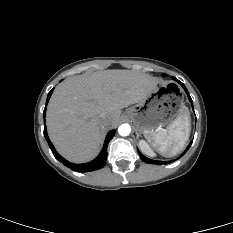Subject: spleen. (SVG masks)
Listing matches in <instances>:
<instances>
[{
  "label": "spleen",
  "mask_w": 233,
  "mask_h": 233,
  "mask_svg": "<svg viewBox=\"0 0 233 233\" xmlns=\"http://www.w3.org/2000/svg\"><path fill=\"white\" fill-rule=\"evenodd\" d=\"M191 130L188 108L183 106L177 117L166 129L144 133L147 141L161 155L170 157L178 154L189 139Z\"/></svg>",
  "instance_id": "1"
}]
</instances>
